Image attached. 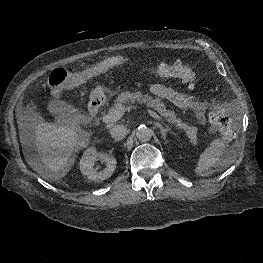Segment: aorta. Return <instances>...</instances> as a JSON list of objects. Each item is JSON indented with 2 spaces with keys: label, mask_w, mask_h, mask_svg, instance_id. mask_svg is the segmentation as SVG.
Segmentation results:
<instances>
[{
  "label": "aorta",
  "mask_w": 263,
  "mask_h": 263,
  "mask_svg": "<svg viewBox=\"0 0 263 263\" xmlns=\"http://www.w3.org/2000/svg\"><path fill=\"white\" fill-rule=\"evenodd\" d=\"M152 134L153 131L144 125H141L136 129V137L142 142L149 141L152 137Z\"/></svg>",
  "instance_id": "762f6f07"
}]
</instances>
